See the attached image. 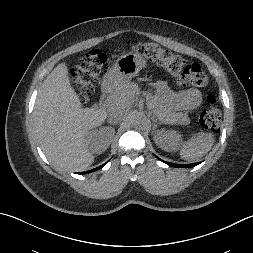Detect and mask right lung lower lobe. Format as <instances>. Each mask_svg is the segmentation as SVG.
I'll list each match as a JSON object with an SVG mask.
<instances>
[{
    "mask_svg": "<svg viewBox=\"0 0 253 253\" xmlns=\"http://www.w3.org/2000/svg\"><path fill=\"white\" fill-rule=\"evenodd\" d=\"M104 165H105V164H104ZM104 165L99 166V167H97V168H95V169H92V170H90V171L81 172V173H79V174H85V173H90V172H93V171H95V170H98V169L102 168Z\"/></svg>",
    "mask_w": 253,
    "mask_h": 253,
    "instance_id": "1",
    "label": "right lung lower lobe"
}]
</instances>
